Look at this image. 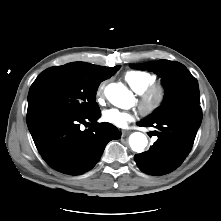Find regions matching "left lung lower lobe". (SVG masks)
<instances>
[{
    "instance_id": "obj_1",
    "label": "left lung lower lobe",
    "mask_w": 221,
    "mask_h": 221,
    "mask_svg": "<svg viewBox=\"0 0 221 221\" xmlns=\"http://www.w3.org/2000/svg\"><path fill=\"white\" fill-rule=\"evenodd\" d=\"M202 120V110L180 112L156 120H142L139 126H155L157 141L146 152L136 154L139 169L150 175H164L179 167L189 154Z\"/></svg>"
}]
</instances>
